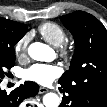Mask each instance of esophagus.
I'll return each mask as SVG.
<instances>
[{
	"mask_svg": "<svg viewBox=\"0 0 107 107\" xmlns=\"http://www.w3.org/2000/svg\"><path fill=\"white\" fill-rule=\"evenodd\" d=\"M46 92H48V89H46V88H44V87H40V88H39V94H44V93H46Z\"/></svg>",
	"mask_w": 107,
	"mask_h": 107,
	"instance_id": "34e87169",
	"label": "esophagus"
}]
</instances>
